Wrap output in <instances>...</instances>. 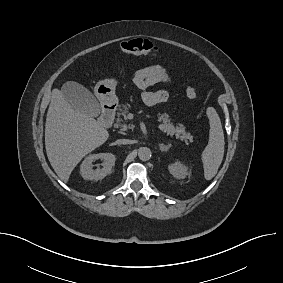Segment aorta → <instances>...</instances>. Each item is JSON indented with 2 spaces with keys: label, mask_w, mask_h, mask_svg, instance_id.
Instances as JSON below:
<instances>
[{
  "label": "aorta",
  "mask_w": 283,
  "mask_h": 283,
  "mask_svg": "<svg viewBox=\"0 0 283 283\" xmlns=\"http://www.w3.org/2000/svg\"><path fill=\"white\" fill-rule=\"evenodd\" d=\"M152 152L148 147H141L138 150V157L142 161H147L151 158Z\"/></svg>",
  "instance_id": "762f6f07"
}]
</instances>
